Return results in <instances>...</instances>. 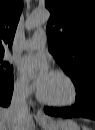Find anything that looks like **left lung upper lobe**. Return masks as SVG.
<instances>
[{"label": "left lung upper lobe", "mask_w": 95, "mask_h": 130, "mask_svg": "<svg viewBox=\"0 0 95 130\" xmlns=\"http://www.w3.org/2000/svg\"><path fill=\"white\" fill-rule=\"evenodd\" d=\"M49 51L76 89L95 77V1L45 0Z\"/></svg>", "instance_id": "1"}]
</instances>
